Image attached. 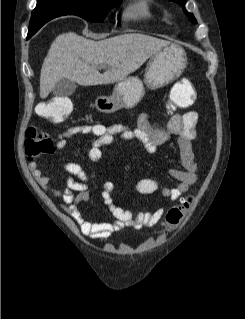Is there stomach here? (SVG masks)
Instances as JSON below:
<instances>
[{
    "label": "stomach",
    "instance_id": "0dacf381",
    "mask_svg": "<svg viewBox=\"0 0 245 319\" xmlns=\"http://www.w3.org/2000/svg\"><path fill=\"white\" fill-rule=\"evenodd\" d=\"M187 65L182 47L170 44L154 53L146 67L144 80L136 76L118 81L111 96H100L95 101L99 112L110 114L122 108H134L144 97L145 87L155 90L177 79Z\"/></svg>",
    "mask_w": 245,
    "mask_h": 319
}]
</instances>
